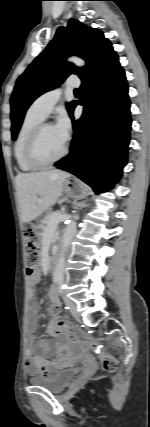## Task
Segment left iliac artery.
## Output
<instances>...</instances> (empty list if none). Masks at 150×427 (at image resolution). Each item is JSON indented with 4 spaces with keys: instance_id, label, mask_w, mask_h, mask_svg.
<instances>
[{
    "instance_id": "44dca946",
    "label": "left iliac artery",
    "mask_w": 150,
    "mask_h": 427,
    "mask_svg": "<svg viewBox=\"0 0 150 427\" xmlns=\"http://www.w3.org/2000/svg\"><path fill=\"white\" fill-rule=\"evenodd\" d=\"M63 289H64V286L61 283H59L58 292L63 293ZM66 308L68 309L69 307L67 306Z\"/></svg>"
}]
</instances>
